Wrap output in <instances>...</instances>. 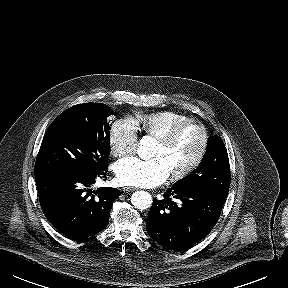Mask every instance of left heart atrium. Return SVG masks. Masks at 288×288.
Instances as JSON below:
<instances>
[{
    "label": "left heart atrium",
    "instance_id": "39dd6f15",
    "mask_svg": "<svg viewBox=\"0 0 288 288\" xmlns=\"http://www.w3.org/2000/svg\"><path fill=\"white\" fill-rule=\"evenodd\" d=\"M117 180L125 186L155 187L167 180L170 171L161 157H127L115 165Z\"/></svg>",
    "mask_w": 288,
    "mask_h": 288
}]
</instances>
